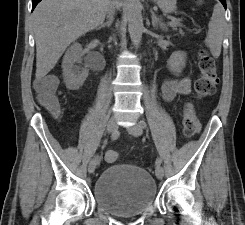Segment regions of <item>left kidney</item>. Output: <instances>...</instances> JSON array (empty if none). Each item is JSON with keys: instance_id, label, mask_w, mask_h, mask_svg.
<instances>
[{"instance_id": "obj_1", "label": "left kidney", "mask_w": 245, "mask_h": 225, "mask_svg": "<svg viewBox=\"0 0 245 225\" xmlns=\"http://www.w3.org/2000/svg\"><path fill=\"white\" fill-rule=\"evenodd\" d=\"M186 62V54L181 51L172 53L167 61V65L170 71L174 73H180Z\"/></svg>"}]
</instances>
